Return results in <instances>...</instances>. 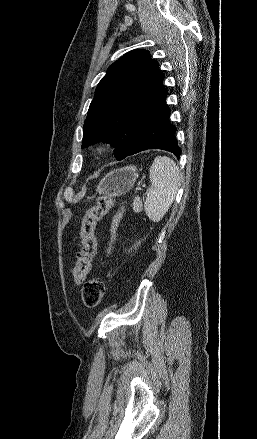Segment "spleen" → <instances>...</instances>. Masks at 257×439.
I'll use <instances>...</instances> for the list:
<instances>
[{
    "label": "spleen",
    "mask_w": 257,
    "mask_h": 439,
    "mask_svg": "<svg viewBox=\"0 0 257 439\" xmlns=\"http://www.w3.org/2000/svg\"><path fill=\"white\" fill-rule=\"evenodd\" d=\"M151 186L146 192L144 210L152 222L163 219L175 198L180 184V172L175 162L157 156L150 167Z\"/></svg>",
    "instance_id": "1"
}]
</instances>
